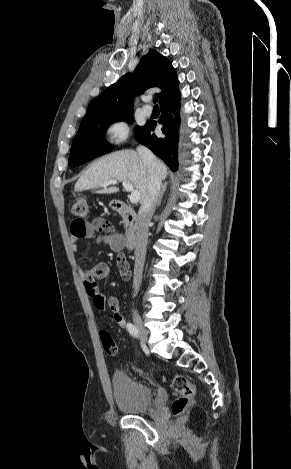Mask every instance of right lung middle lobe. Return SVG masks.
Masks as SVG:
<instances>
[{
	"label": "right lung middle lobe",
	"instance_id": "dd1d6c3e",
	"mask_svg": "<svg viewBox=\"0 0 291 469\" xmlns=\"http://www.w3.org/2000/svg\"><path fill=\"white\" fill-rule=\"evenodd\" d=\"M117 121L131 123L132 112L82 121L72 143L69 166L76 167L109 152L112 147L105 142L104 136L108 127ZM140 128L137 126L135 131Z\"/></svg>",
	"mask_w": 291,
	"mask_h": 469
}]
</instances>
